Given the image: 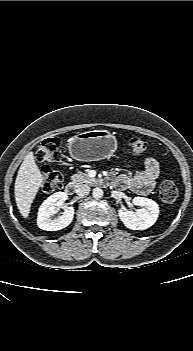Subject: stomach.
<instances>
[{
    "instance_id": "1",
    "label": "stomach",
    "mask_w": 193,
    "mask_h": 351,
    "mask_svg": "<svg viewBox=\"0 0 193 351\" xmlns=\"http://www.w3.org/2000/svg\"><path fill=\"white\" fill-rule=\"evenodd\" d=\"M117 148V140L107 130H93L75 135L68 144L70 156L77 161L108 158Z\"/></svg>"
}]
</instances>
